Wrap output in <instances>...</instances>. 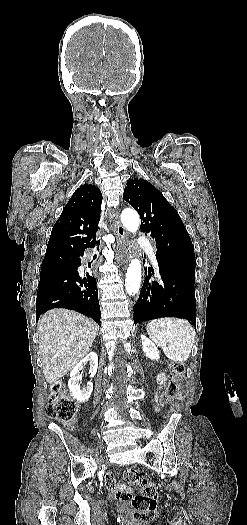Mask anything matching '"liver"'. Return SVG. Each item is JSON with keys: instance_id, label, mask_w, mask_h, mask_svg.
Segmentation results:
<instances>
[{"instance_id": "1", "label": "liver", "mask_w": 247, "mask_h": 525, "mask_svg": "<svg viewBox=\"0 0 247 525\" xmlns=\"http://www.w3.org/2000/svg\"><path fill=\"white\" fill-rule=\"evenodd\" d=\"M39 353L47 383L53 385L90 351L99 327L93 319L69 309H51L38 321Z\"/></svg>"}]
</instances>
